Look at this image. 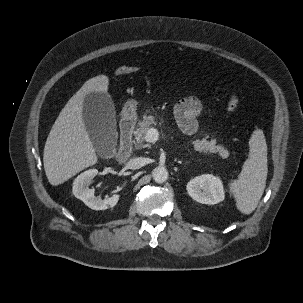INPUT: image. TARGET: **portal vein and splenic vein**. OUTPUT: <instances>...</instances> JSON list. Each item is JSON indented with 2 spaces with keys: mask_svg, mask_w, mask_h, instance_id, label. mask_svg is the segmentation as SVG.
I'll list each match as a JSON object with an SVG mask.
<instances>
[{
  "mask_svg": "<svg viewBox=\"0 0 303 303\" xmlns=\"http://www.w3.org/2000/svg\"><path fill=\"white\" fill-rule=\"evenodd\" d=\"M159 139V132L155 128H149L145 135V140L149 143L156 142Z\"/></svg>",
  "mask_w": 303,
  "mask_h": 303,
  "instance_id": "18ae733b",
  "label": "portal vein and splenic vein"
}]
</instances>
